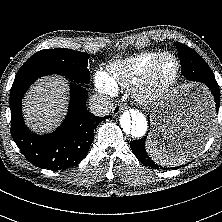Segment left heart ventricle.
I'll return each mask as SVG.
<instances>
[{"label":"left heart ventricle","instance_id":"1","mask_svg":"<svg viewBox=\"0 0 222 222\" xmlns=\"http://www.w3.org/2000/svg\"><path fill=\"white\" fill-rule=\"evenodd\" d=\"M175 61L172 58H164L155 69V81L157 83L168 80L175 71Z\"/></svg>","mask_w":222,"mask_h":222}]
</instances>
